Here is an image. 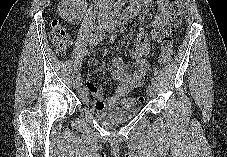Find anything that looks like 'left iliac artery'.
Segmentation results:
<instances>
[{
  "label": "left iliac artery",
  "instance_id": "left-iliac-artery-1",
  "mask_svg": "<svg viewBox=\"0 0 227 157\" xmlns=\"http://www.w3.org/2000/svg\"><path fill=\"white\" fill-rule=\"evenodd\" d=\"M151 85L156 86V83L154 80L151 81Z\"/></svg>",
  "mask_w": 227,
  "mask_h": 157
}]
</instances>
